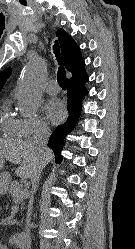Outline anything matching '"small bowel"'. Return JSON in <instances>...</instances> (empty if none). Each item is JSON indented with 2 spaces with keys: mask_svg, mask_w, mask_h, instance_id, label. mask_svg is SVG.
<instances>
[{
  "mask_svg": "<svg viewBox=\"0 0 135 249\" xmlns=\"http://www.w3.org/2000/svg\"><path fill=\"white\" fill-rule=\"evenodd\" d=\"M0 249H6V248L0 244Z\"/></svg>",
  "mask_w": 135,
  "mask_h": 249,
  "instance_id": "c3829d8e",
  "label": "small bowel"
}]
</instances>
